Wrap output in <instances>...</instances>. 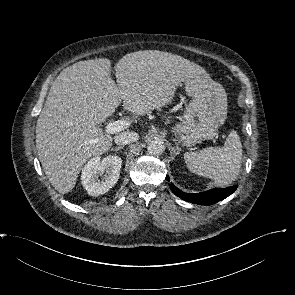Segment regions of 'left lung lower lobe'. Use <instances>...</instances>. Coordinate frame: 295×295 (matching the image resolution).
Listing matches in <instances>:
<instances>
[{
    "label": "left lung lower lobe",
    "mask_w": 295,
    "mask_h": 295,
    "mask_svg": "<svg viewBox=\"0 0 295 295\" xmlns=\"http://www.w3.org/2000/svg\"><path fill=\"white\" fill-rule=\"evenodd\" d=\"M166 179L169 181V177ZM237 189V185L227 188H214L205 192L189 194L179 190L171 184L172 192L179 198L200 205H212L230 196Z\"/></svg>",
    "instance_id": "1"
}]
</instances>
